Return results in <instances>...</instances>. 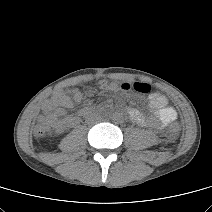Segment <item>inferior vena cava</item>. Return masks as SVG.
<instances>
[{
    "label": "inferior vena cava",
    "instance_id": "1",
    "mask_svg": "<svg viewBox=\"0 0 212 212\" xmlns=\"http://www.w3.org/2000/svg\"><path fill=\"white\" fill-rule=\"evenodd\" d=\"M92 120L95 124H98L101 120V117H100V115L95 114V115H93Z\"/></svg>",
    "mask_w": 212,
    "mask_h": 212
}]
</instances>
